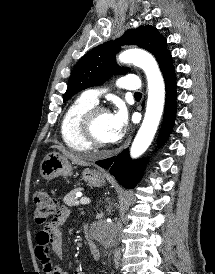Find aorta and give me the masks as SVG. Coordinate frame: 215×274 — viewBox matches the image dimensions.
Returning a JSON list of instances; mask_svg holds the SVG:
<instances>
[{
	"label": "aorta",
	"instance_id": "1",
	"mask_svg": "<svg viewBox=\"0 0 215 274\" xmlns=\"http://www.w3.org/2000/svg\"><path fill=\"white\" fill-rule=\"evenodd\" d=\"M119 60L142 68L148 82L145 117L130 149L131 157L137 158L147 150L158 128L165 102V85L157 62L149 53L128 49L119 55Z\"/></svg>",
	"mask_w": 215,
	"mask_h": 274
}]
</instances>
